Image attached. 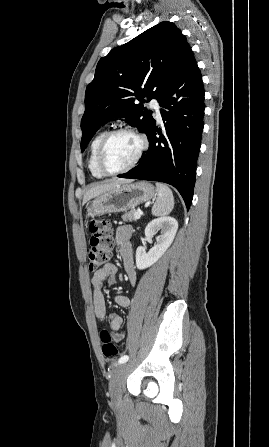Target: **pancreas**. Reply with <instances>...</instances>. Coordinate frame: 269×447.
Segmentation results:
<instances>
[{
  "instance_id": "obj_1",
  "label": "pancreas",
  "mask_w": 269,
  "mask_h": 447,
  "mask_svg": "<svg viewBox=\"0 0 269 447\" xmlns=\"http://www.w3.org/2000/svg\"><path fill=\"white\" fill-rule=\"evenodd\" d=\"M134 214V210H131V212H126V214H123L122 220H124V222H136Z\"/></svg>"
}]
</instances>
